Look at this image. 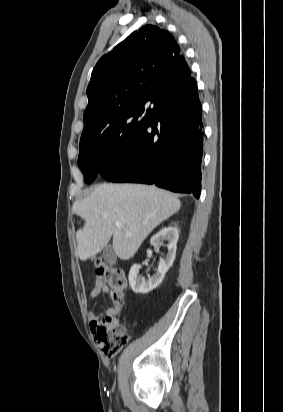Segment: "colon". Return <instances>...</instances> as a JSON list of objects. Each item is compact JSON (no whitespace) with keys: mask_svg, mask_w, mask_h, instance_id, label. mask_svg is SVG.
<instances>
[{"mask_svg":"<svg viewBox=\"0 0 283 412\" xmlns=\"http://www.w3.org/2000/svg\"><path fill=\"white\" fill-rule=\"evenodd\" d=\"M97 273L107 283L113 301L119 306L125 297L126 276L117 267L106 263L103 257H96ZM119 312L107 314L91 323V333L94 342L107 357H114L128 342V335L120 324Z\"/></svg>","mask_w":283,"mask_h":412,"instance_id":"1","label":"colon"}]
</instances>
